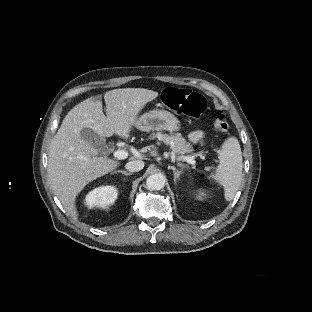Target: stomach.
<instances>
[{
	"label": "stomach",
	"instance_id": "obj_1",
	"mask_svg": "<svg viewBox=\"0 0 312 312\" xmlns=\"http://www.w3.org/2000/svg\"><path fill=\"white\" fill-rule=\"evenodd\" d=\"M136 126L142 131H168L171 133L180 132L182 124L171 112L155 109L138 117Z\"/></svg>",
	"mask_w": 312,
	"mask_h": 312
}]
</instances>
